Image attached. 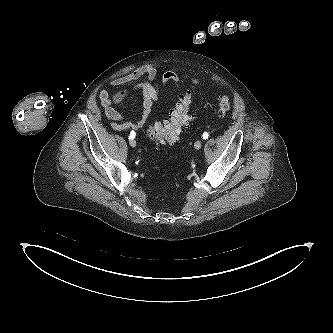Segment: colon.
<instances>
[{"instance_id": "1", "label": "colon", "mask_w": 333, "mask_h": 333, "mask_svg": "<svg viewBox=\"0 0 333 333\" xmlns=\"http://www.w3.org/2000/svg\"><path fill=\"white\" fill-rule=\"evenodd\" d=\"M192 100L191 94L182 95L180 101L173 107L170 116L165 121H154L149 125L147 129L149 138L156 144L178 141L180 135L193 120V115L190 113ZM217 106L221 115L227 114L231 108L229 99L226 96L218 97Z\"/></svg>"}]
</instances>
